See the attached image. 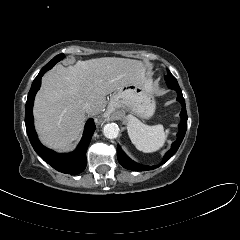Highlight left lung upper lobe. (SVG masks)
<instances>
[{
	"label": "left lung upper lobe",
	"mask_w": 240,
	"mask_h": 240,
	"mask_svg": "<svg viewBox=\"0 0 240 240\" xmlns=\"http://www.w3.org/2000/svg\"><path fill=\"white\" fill-rule=\"evenodd\" d=\"M165 80H176V78L168 70V74L165 76Z\"/></svg>",
	"instance_id": "5c2ea615"
}]
</instances>
